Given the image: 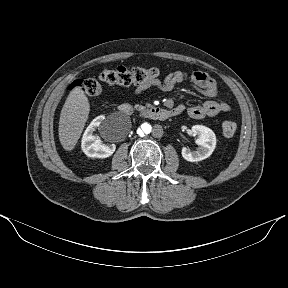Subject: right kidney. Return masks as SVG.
<instances>
[{"mask_svg": "<svg viewBox=\"0 0 288 288\" xmlns=\"http://www.w3.org/2000/svg\"><path fill=\"white\" fill-rule=\"evenodd\" d=\"M102 117L95 118L85 130L82 137V151L91 158H107L111 156L116 146L115 144H104L94 133L96 129H101Z\"/></svg>", "mask_w": 288, "mask_h": 288, "instance_id": "obj_1", "label": "right kidney"}]
</instances>
